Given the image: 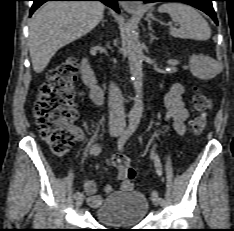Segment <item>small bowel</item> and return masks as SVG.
<instances>
[{
  "instance_id": "c3829d8e",
  "label": "small bowel",
  "mask_w": 234,
  "mask_h": 231,
  "mask_svg": "<svg viewBox=\"0 0 234 231\" xmlns=\"http://www.w3.org/2000/svg\"><path fill=\"white\" fill-rule=\"evenodd\" d=\"M184 92V87L176 82L172 85L170 91L164 97V103L167 108L165 119L171 121L174 130L178 135H183L185 133V121L188 118V110L182 101V94ZM73 134L77 140L83 139V132L81 129L74 127L72 129ZM84 191L87 195V202L91 207H99L102 203V197L96 194V185L94 181L87 179L83 184ZM133 188V183L130 180H123L121 185L122 191H130ZM107 194L113 192V187L108 185L105 189Z\"/></svg>"
}]
</instances>
